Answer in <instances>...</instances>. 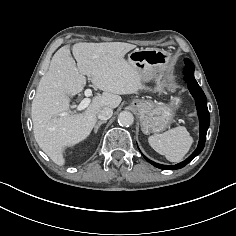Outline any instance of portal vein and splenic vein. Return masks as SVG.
<instances>
[{"label":"portal vein and splenic vein","mask_w":236,"mask_h":236,"mask_svg":"<svg viewBox=\"0 0 236 236\" xmlns=\"http://www.w3.org/2000/svg\"><path fill=\"white\" fill-rule=\"evenodd\" d=\"M85 96L87 98H84L80 104L77 106V111H82L84 110L85 108H87L90 104V99L88 97H91L92 96V90L91 89H86L85 92H84Z\"/></svg>","instance_id":"obj_1"}]
</instances>
